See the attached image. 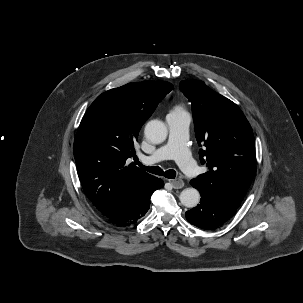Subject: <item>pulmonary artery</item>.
<instances>
[{
	"mask_svg": "<svg viewBox=\"0 0 303 303\" xmlns=\"http://www.w3.org/2000/svg\"><path fill=\"white\" fill-rule=\"evenodd\" d=\"M169 136L167 142L153 154L143 156L145 164H154L163 160L174 159L189 176H197L199 167L192 158L187 146L190 117L187 113L168 114L166 117Z\"/></svg>",
	"mask_w": 303,
	"mask_h": 303,
	"instance_id": "obj_1",
	"label": "pulmonary artery"
}]
</instances>
